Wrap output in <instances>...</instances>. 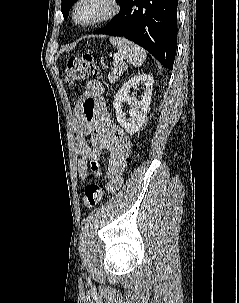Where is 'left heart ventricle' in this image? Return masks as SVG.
I'll return each instance as SVG.
<instances>
[{
    "mask_svg": "<svg viewBox=\"0 0 239 303\" xmlns=\"http://www.w3.org/2000/svg\"><path fill=\"white\" fill-rule=\"evenodd\" d=\"M107 10L104 0H85L78 9L77 17L81 22L89 21Z\"/></svg>",
    "mask_w": 239,
    "mask_h": 303,
    "instance_id": "b2bd125f",
    "label": "left heart ventricle"
}]
</instances>
